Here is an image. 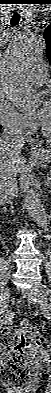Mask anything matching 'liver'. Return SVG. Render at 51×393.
Returning a JSON list of instances; mask_svg holds the SVG:
<instances>
[{
  "instance_id": "1",
  "label": "liver",
  "mask_w": 51,
  "mask_h": 393,
  "mask_svg": "<svg viewBox=\"0 0 51 393\" xmlns=\"http://www.w3.org/2000/svg\"><path fill=\"white\" fill-rule=\"evenodd\" d=\"M6 174H21L25 171V158L12 150L2 148L0 141V175L1 171Z\"/></svg>"
}]
</instances>
